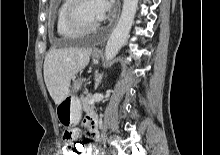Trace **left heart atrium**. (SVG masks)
I'll return each instance as SVG.
<instances>
[{
  "label": "left heart atrium",
  "instance_id": "1",
  "mask_svg": "<svg viewBox=\"0 0 220 155\" xmlns=\"http://www.w3.org/2000/svg\"><path fill=\"white\" fill-rule=\"evenodd\" d=\"M94 5L100 20L104 19L112 9L111 0H94Z\"/></svg>",
  "mask_w": 220,
  "mask_h": 155
}]
</instances>
